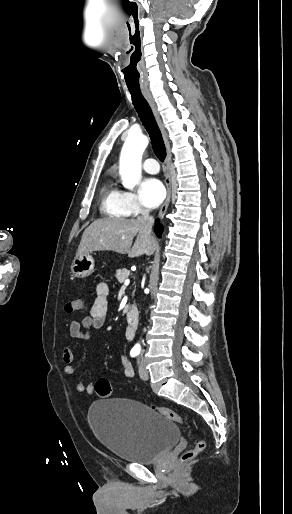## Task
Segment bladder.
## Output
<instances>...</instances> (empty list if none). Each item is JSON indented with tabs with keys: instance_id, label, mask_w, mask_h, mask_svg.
<instances>
[{
	"instance_id": "1",
	"label": "bladder",
	"mask_w": 292,
	"mask_h": 514,
	"mask_svg": "<svg viewBox=\"0 0 292 514\" xmlns=\"http://www.w3.org/2000/svg\"><path fill=\"white\" fill-rule=\"evenodd\" d=\"M87 418L98 441L126 462L153 463L180 437L172 420L131 399L96 401L89 407Z\"/></svg>"
}]
</instances>
